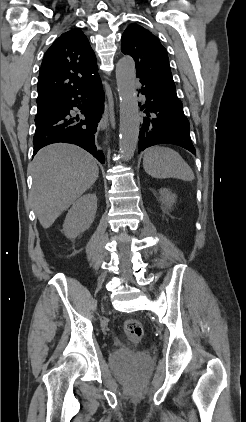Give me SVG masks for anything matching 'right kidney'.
Wrapping results in <instances>:
<instances>
[{
    "mask_svg": "<svg viewBox=\"0 0 246 422\" xmlns=\"http://www.w3.org/2000/svg\"><path fill=\"white\" fill-rule=\"evenodd\" d=\"M97 211L96 194H85L76 200L67 213L63 231L67 238L74 239L89 229Z\"/></svg>",
    "mask_w": 246,
    "mask_h": 422,
    "instance_id": "obj_1",
    "label": "right kidney"
}]
</instances>
